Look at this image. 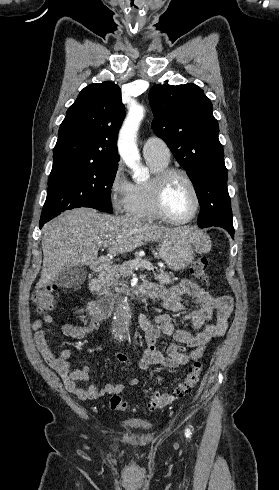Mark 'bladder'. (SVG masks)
Segmentation results:
<instances>
[{"mask_svg":"<svg viewBox=\"0 0 279 490\" xmlns=\"http://www.w3.org/2000/svg\"><path fill=\"white\" fill-rule=\"evenodd\" d=\"M138 428L141 429L142 431H150L151 430V426L149 424H146V423L139 424Z\"/></svg>","mask_w":279,"mask_h":490,"instance_id":"1","label":"bladder"}]
</instances>
